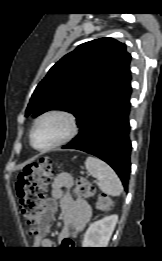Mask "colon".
I'll list each match as a JSON object with an SVG mask.
<instances>
[{
	"label": "colon",
	"instance_id": "5ec220e1",
	"mask_svg": "<svg viewBox=\"0 0 162 261\" xmlns=\"http://www.w3.org/2000/svg\"><path fill=\"white\" fill-rule=\"evenodd\" d=\"M52 179L53 175L48 158H42L39 162L27 166L18 177L16 191L19 198V209L30 226L38 227L40 224L42 217L40 202ZM95 195V186L86 177H78L75 183V197L78 200H83ZM97 208L101 211L110 210L112 208L111 199L106 195L99 196ZM70 244V240L63 242V246Z\"/></svg>",
	"mask_w": 162,
	"mask_h": 261
}]
</instances>
